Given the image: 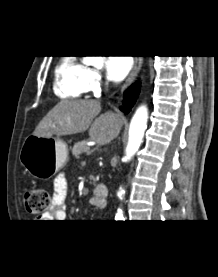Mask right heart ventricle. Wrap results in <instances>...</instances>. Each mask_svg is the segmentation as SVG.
<instances>
[{
	"instance_id": "1",
	"label": "right heart ventricle",
	"mask_w": 218,
	"mask_h": 277,
	"mask_svg": "<svg viewBox=\"0 0 218 277\" xmlns=\"http://www.w3.org/2000/svg\"><path fill=\"white\" fill-rule=\"evenodd\" d=\"M87 67L73 57L61 59L55 69L54 93L63 99H77L87 91Z\"/></svg>"
}]
</instances>
